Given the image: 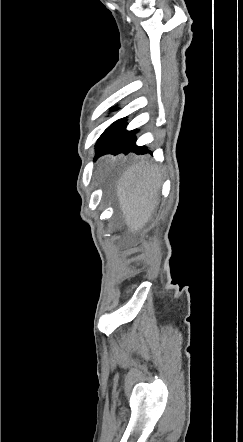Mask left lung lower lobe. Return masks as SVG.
I'll use <instances>...</instances> for the list:
<instances>
[{
    "label": "left lung lower lobe",
    "instance_id": "1",
    "mask_svg": "<svg viewBox=\"0 0 243 442\" xmlns=\"http://www.w3.org/2000/svg\"><path fill=\"white\" fill-rule=\"evenodd\" d=\"M117 108H113L115 110ZM126 118L119 119L112 123L100 136L96 144V157L104 154L119 153L128 154L129 152H135L136 154H146L152 152L144 146H136L135 133L138 130L127 131L126 130Z\"/></svg>",
    "mask_w": 243,
    "mask_h": 442
}]
</instances>
